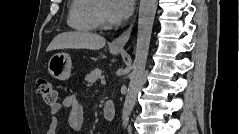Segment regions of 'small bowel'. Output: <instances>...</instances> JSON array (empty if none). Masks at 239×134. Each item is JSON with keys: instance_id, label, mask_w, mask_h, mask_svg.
I'll return each mask as SVG.
<instances>
[{"instance_id": "small-bowel-1", "label": "small bowel", "mask_w": 239, "mask_h": 134, "mask_svg": "<svg viewBox=\"0 0 239 134\" xmlns=\"http://www.w3.org/2000/svg\"><path fill=\"white\" fill-rule=\"evenodd\" d=\"M63 108H67L69 110L68 120L70 127L75 131L82 129L85 117L84 108L75 95H69L63 100L62 103L51 105L50 113L52 115V118L48 126L47 134L57 133L59 124L57 115Z\"/></svg>"}]
</instances>
